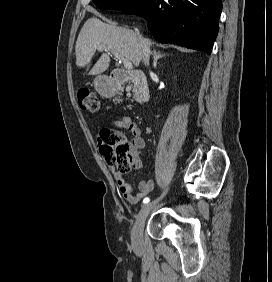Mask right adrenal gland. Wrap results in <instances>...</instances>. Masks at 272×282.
Wrapping results in <instances>:
<instances>
[{
	"label": "right adrenal gland",
	"instance_id": "right-adrenal-gland-1",
	"mask_svg": "<svg viewBox=\"0 0 272 282\" xmlns=\"http://www.w3.org/2000/svg\"><path fill=\"white\" fill-rule=\"evenodd\" d=\"M152 55H153V58H154L153 67L156 68L158 59L164 57L166 54L165 53L162 54V53H160V51H156L154 49L153 52H152Z\"/></svg>",
	"mask_w": 272,
	"mask_h": 282
}]
</instances>
